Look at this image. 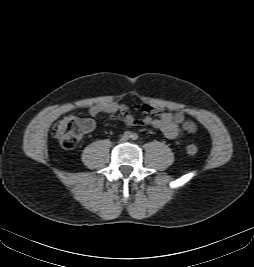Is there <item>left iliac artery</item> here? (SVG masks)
I'll return each mask as SVG.
<instances>
[{
    "mask_svg": "<svg viewBox=\"0 0 254 267\" xmlns=\"http://www.w3.org/2000/svg\"><path fill=\"white\" fill-rule=\"evenodd\" d=\"M132 139H133V140H137V139H138V135L134 133V134L132 135Z\"/></svg>",
    "mask_w": 254,
    "mask_h": 267,
    "instance_id": "1",
    "label": "left iliac artery"
}]
</instances>
